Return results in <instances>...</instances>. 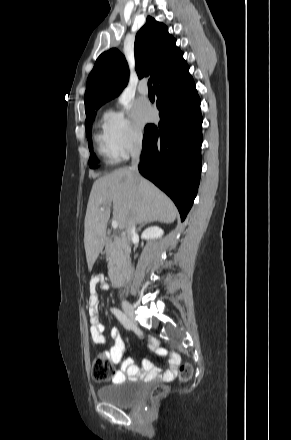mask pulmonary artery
Segmentation results:
<instances>
[{
    "label": "pulmonary artery",
    "instance_id": "pulmonary-artery-1",
    "mask_svg": "<svg viewBox=\"0 0 291 440\" xmlns=\"http://www.w3.org/2000/svg\"><path fill=\"white\" fill-rule=\"evenodd\" d=\"M138 91L142 95H147L148 94V87H147L146 82H141L139 84Z\"/></svg>",
    "mask_w": 291,
    "mask_h": 440
}]
</instances>
